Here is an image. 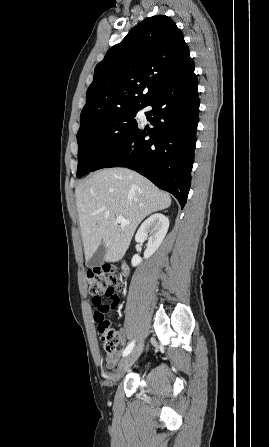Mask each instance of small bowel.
<instances>
[{"instance_id": "obj_1", "label": "small bowel", "mask_w": 269, "mask_h": 447, "mask_svg": "<svg viewBox=\"0 0 269 447\" xmlns=\"http://www.w3.org/2000/svg\"><path fill=\"white\" fill-rule=\"evenodd\" d=\"M119 301V300H118ZM117 334L120 337V342L121 344H125L127 342V337L125 334V328L124 327H120L116 330ZM119 353L113 354V353H109L106 355L105 357V364L108 368H112L116 365L118 359H119Z\"/></svg>"}]
</instances>
